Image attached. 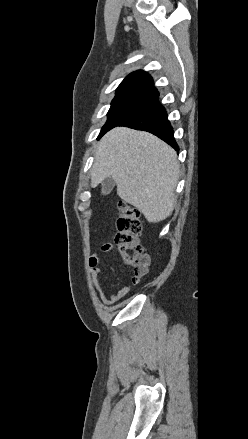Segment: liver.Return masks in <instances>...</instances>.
Listing matches in <instances>:
<instances>
[{
  "instance_id": "6515ba94",
  "label": "liver",
  "mask_w": 248,
  "mask_h": 439,
  "mask_svg": "<svg viewBox=\"0 0 248 439\" xmlns=\"http://www.w3.org/2000/svg\"><path fill=\"white\" fill-rule=\"evenodd\" d=\"M94 157L91 186L112 177L118 196L149 223L171 215L179 164L169 145L150 133L116 127L100 140Z\"/></svg>"
}]
</instances>
